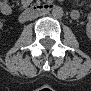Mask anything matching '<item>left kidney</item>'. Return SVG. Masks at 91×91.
I'll return each instance as SVG.
<instances>
[{
    "label": "left kidney",
    "mask_w": 91,
    "mask_h": 91,
    "mask_svg": "<svg viewBox=\"0 0 91 91\" xmlns=\"http://www.w3.org/2000/svg\"><path fill=\"white\" fill-rule=\"evenodd\" d=\"M86 33H87V36H91V29L89 25H87Z\"/></svg>",
    "instance_id": "5707ae66"
}]
</instances>
